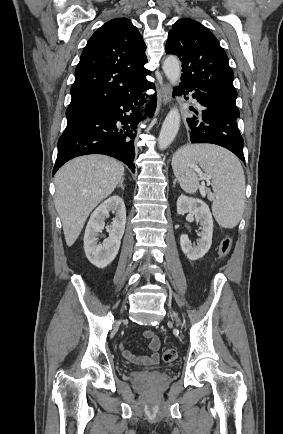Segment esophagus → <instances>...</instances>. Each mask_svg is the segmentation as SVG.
Returning a JSON list of instances; mask_svg holds the SVG:
<instances>
[{
  "instance_id": "obj_1",
  "label": "esophagus",
  "mask_w": 283,
  "mask_h": 434,
  "mask_svg": "<svg viewBox=\"0 0 283 434\" xmlns=\"http://www.w3.org/2000/svg\"><path fill=\"white\" fill-rule=\"evenodd\" d=\"M171 101V92H170V87L169 84L166 83L164 84L162 91H161V102L164 105L169 104Z\"/></svg>"
}]
</instances>
